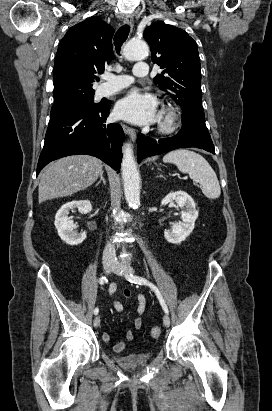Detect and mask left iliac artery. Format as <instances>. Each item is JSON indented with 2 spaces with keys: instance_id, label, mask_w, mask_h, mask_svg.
<instances>
[{
  "instance_id": "left-iliac-artery-1",
  "label": "left iliac artery",
  "mask_w": 272,
  "mask_h": 411,
  "mask_svg": "<svg viewBox=\"0 0 272 411\" xmlns=\"http://www.w3.org/2000/svg\"><path fill=\"white\" fill-rule=\"evenodd\" d=\"M126 278L131 282V283H135V284H139V285H148L156 294L164 312L166 314L169 313L168 307L160 293V291L158 290V288L152 284L150 281H148L147 279L143 278V277H139V276H134L133 274H129L126 275Z\"/></svg>"
}]
</instances>
